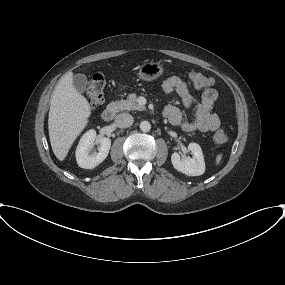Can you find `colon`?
Wrapping results in <instances>:
<instances>
[{"instance_id": "obj_1", "label": "colon", "mask_w": 285, "mask_h": 285, "mask_svg": "<svg viewBox=\"0 0 285 285\" xmlns=\"http://www.w3.org/2000/svg\"><path fill=\"white\" fill-rule=\"evenodd\" d=\"M188 77L192 85L198 89H206L214 84L212 78L199 72H190ZM104 87V75L102 73L94 74L90 79L87 88V100L92 107H97L103 103ZM212 141L215 146L219 147L228 141V137L224 131L219 130L214 134Z\"/></svg>"}]
</instances>
